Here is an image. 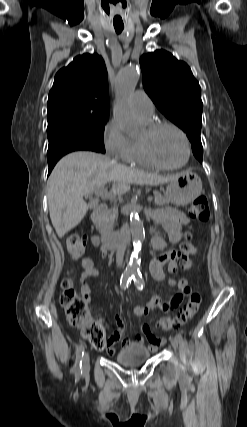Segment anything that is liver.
Segmentation results:
<instances>
[{
  "label": "liver",
  "instance_id": "6515ba94",
  "mask_svg": "<svg viewBox=\"0 0 247 427\" xmlns=\"http://www.w3.org/2000/svg\"><path fill=\"white\" fill-rule=\"evenodd\" d=\"M177 175L160 176L130 168L108 156L77 151L64 156L48 180V205L51 222L58 237L76 227L88 211L83 196L113 182L112 191L124 194L131 184L156 186Z\"/></svg>",
  "mask_w": 247,
  "mask_h": 427
}]
</instances>
